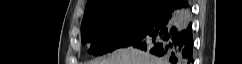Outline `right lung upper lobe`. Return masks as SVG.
<instances>
[{
    "label": "right lung upper lobe",
    "instance_id": "obj_1",
    "mask_svg": "<svg viewBox=\"0 0 242 64\" xmlns=\"http://www.w3.org/2000/svg\"><path fill=\"white\" fill-rule=\"evenodd\" d=\"M170 0H88L83 21L95 17L132 9H149L161 12Z\"/></svg>",
    "mask_w": 242,
    "mask_h": 64
}]
</instances>
